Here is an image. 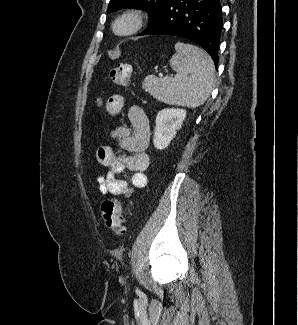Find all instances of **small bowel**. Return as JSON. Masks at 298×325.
<instances>
[{
    "mask_svg": "<svg viewBox=\"0 0 298 325\" xmlns=\"http://www.w3.org/2000/svg\"><path fill=\"white\" fill-rule=\"evenodd\" d=\"M124 106L125 98L115 94L108 98L105 109L110 116H116ZM128 117L131 128L113 126L108 131L109 139L118 144L120 151L110 146L97 150V161L107 168L98 178L99 190L104 195L130 196L133 189L143 188L148 182L145 171L150 161L146 152L151 135L149 119L136 105L129 109Z\"/></svg>",
    "mask_w": 298,
    "mask_h": 325,
    "instance_id": "c3829d8e",
    "label": "small bowel"
}]
</instances>
